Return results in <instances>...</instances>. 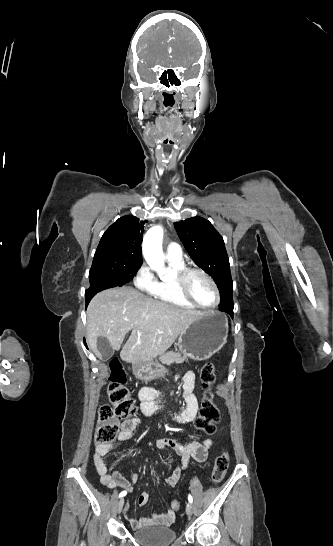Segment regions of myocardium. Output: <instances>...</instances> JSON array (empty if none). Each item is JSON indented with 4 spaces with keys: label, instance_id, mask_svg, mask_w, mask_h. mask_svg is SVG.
<instances>
[{
    "label": "myocardium",
    "instance_id": "myocardium-1",
    "mask_svg": "<svg viewBox=\"0 0 333 546\" xmlns=\"http://www.w3.org/2000/svg\"><path fill=\"white\" fill-rule=\"evenodd\" d=\"M200 274L202 275L203 277H205L207 279V281L213 286L214 290H215V293H216V301L213 305H202L200 303H198L193 297L192 295L190 294L189 292V288H188V280H189V277L192 275V274ZM176 284H177V288H178V291L180 293V295L182 296V298H184L187 302H189L190 304H192L193 306L197 307V308H200V309H214L216 308L219 303H220V300H221V294H220V289L217 285V283L215 282V280L211 277L210 274H208L206 271L200 269V268H195V267H185L183 270H181L177 276H176Z\"/></svg>",
    "mask_w": 333,
    "mask_h": 546
}]
</instances>
